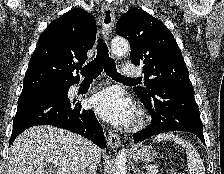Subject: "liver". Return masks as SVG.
Masks as SVG:
<instances>
[{"instance_id": "1", "label": "liver", "mask_w": 224, "mask_h": 174, "mask_svg": "<svg viewBox=\"0 0 224 174\" xmlns=\"http://www.w3.org/2000/svg\"><path fill=\"white\" fill-rule=\"evenodd\" d=\"M88 142L80 135L51 125L31 127L10 147L8 174H48L44 170L46 164L56 167L55 174H77ZM100 160L99 150L97 163Z\"/></svg>"}]
</instances>
